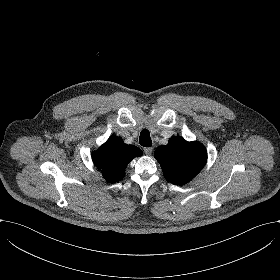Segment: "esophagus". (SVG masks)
I'll use <instances>...</instances> for the list:
<instances>
[{
    "label": "esophagus",
    "mask_w": 280,
    "mask_h": 280,
    "mask_svg": "<svg viewBox=\"0 0 280 280\" xmlns=\"http://www.w3.org/2000/svg\"><path fill=\"white\" fill-rule=\"evenodd\" d=\"M153 149L151 147H145L144 148V153L148 156L152 154Z\"/></svg>",
    "instance_id": "1"
}]
</instances>
